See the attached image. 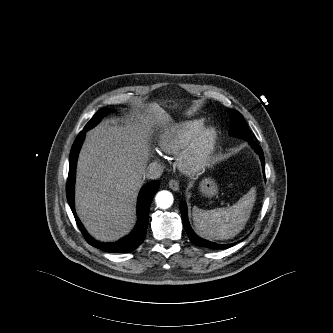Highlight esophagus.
<instances>
[{"label":"esophagus","mask_w":333,"mask_h":333,"mask_svg":"<svg viewBox=\"0 0 333 333\" xmlns=\"http://www.w3.org/2000/svg\"><path fill=\"white\" fill-rule=\"evenodd\" d=\"M169 187L173 190V191H178L179 190V183L177 180L175 179H171L169 181Z\"/></svg>","instance_id":"1"}]
</instances>
